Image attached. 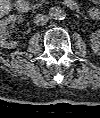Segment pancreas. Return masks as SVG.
Wrapping results in <instances>:
<instances>
[{
  "label": "pancreas",
  "mask_w": 100,
  "mask_h": 118,
  "mask_svg": "<svg viewBox=\"0 0 100 118\" xmlns=\"http://www.w3.org/2000/svg\"><path fill=\"white\" fill-rule=\"evenodd\" d=\"M36 1H37V0H36ZM46 1H47V0H40V3L35 4V5L33 6V9L38 8L39 6H41V5H42V3L46 2Z\"/></svg>",
  "instance_id": "1"
}]
</instances>
